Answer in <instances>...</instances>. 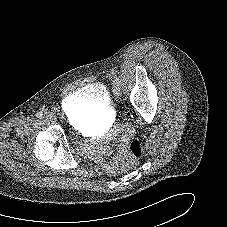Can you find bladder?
Returning <instances> with one entry per match:
<instances>
[{"label": "bladder", "instance_id": "bladder-1", "mask_svg": "<svg viewBox=\"0 0 227 227\" xmlns=\"http://www.w3.org/2000/svg\"><path fill=\"white\" fill-rule=\"evenodd\" d=\"M65 104L68 117L81 130H88L92 124L103 121L110 114V96L101 83L88 84L71 93Z\"/></svg>", "mask_w": 227, "mask_h": 227}]
</instances>
